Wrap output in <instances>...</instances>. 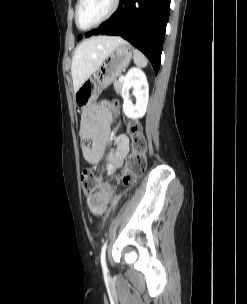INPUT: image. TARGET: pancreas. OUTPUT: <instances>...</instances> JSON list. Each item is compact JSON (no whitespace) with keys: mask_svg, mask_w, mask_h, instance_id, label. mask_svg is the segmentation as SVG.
<instances>
[{"mask_svg":"<svg viewBox=\"0 0 247 304\" xmlns=\"http://www.w3.org/2000/svg\"><path fill=\"white\" fill-rule=\"evenodd\" d=\"M123 81H114V89L117 93H120Z\"/></svg>","mask_w":247,"mask_h":304,"instance_id":"obj_1","label":"pancreas"}]
</instances>
